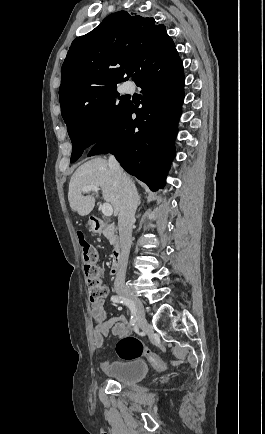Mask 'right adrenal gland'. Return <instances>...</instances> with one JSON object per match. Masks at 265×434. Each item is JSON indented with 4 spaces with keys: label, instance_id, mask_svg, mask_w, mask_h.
I'll return each mask as SVG.
<instances>
[{
    "label": "right adrenal gland",
    "instance_id": "right-adrenal-gland-1",
    "mask_svg": "<svg viewBox=\"0 0 265 434\" xmlns=\"http://www.w3.org/2000/svg\"><path fill=\"white\" fill-rule=\"evenodd\" d=\"M139 204H141L140 196H138Z\"/></svg>",
    "mask_w": 265,
    "mask_h": 434
}]
</instances>
